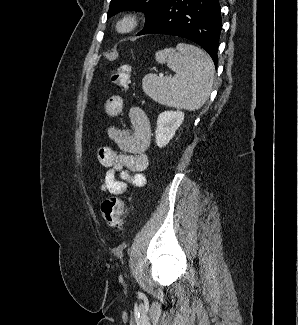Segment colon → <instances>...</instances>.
<instances>
[{"mask_svg": "<svg viewBox=\"0 0 298 325\" xmlns=\"http://www.w3.org/2000/svg\"><path fill=\"white\" fill-rule=\"evenodd\" d=\"M131 68L127 64L119 65L110 75L114 85L125 88L130 79ZM126 212L125 204L116 197H109L101 204V213L106 224L114 229L121 230L123 226V217Z\"/></svg>", "mask_w": 298, "mask_h": 325, "instance_id": "colon-1", "label": "colon"}]
</instances>
